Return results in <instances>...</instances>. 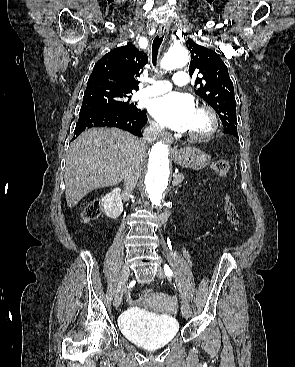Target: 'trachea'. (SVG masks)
I'll use <instances>...</instances> for the list:
<instances>
[{"label":"trachea","instance_id":"trachea-1","mask_svg":"<svg viewBox=\"0 0 295 367\" xmlns=\"http://www.w3.org/2000/svg\"><path fill=\"white\" fill-rule=\"evenodd\" d=\"M163 38H164L163 36L162 37L156 36L152 44V63L154 66H156L158 50L163 41Z\"/></svg>","mask_w":295,"mask_h":367}]
</instances>
